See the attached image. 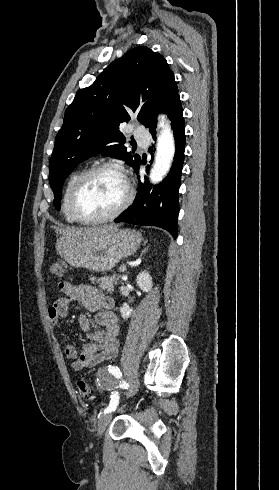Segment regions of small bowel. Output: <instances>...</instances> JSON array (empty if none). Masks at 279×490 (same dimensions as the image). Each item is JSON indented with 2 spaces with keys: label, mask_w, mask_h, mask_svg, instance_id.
<instances>
[{
  "label": "small bowel",
  "mask_w": 279,
  "mask_h": 490,
  "mask_svg": "<svg viewBox=\"0 0 279 490\" xmlns=\"http://www.w3.org/2000/svg\"><path fill=\"white\" fill-rule=\"evenodd\" d=\"M59 288L63 295L56 299L47 311L51 326L57 333L61 331L59 320L67 316L72 302L80 303L94 315L93 320L86 314L80 315L78 319L80 328L92 342L85 345L81 353H78L72 344L65 347V355L71 361L73 370L79 371L115 358L119 351L120 321L113 312L114 299L88 284L72 285L60 282Z\"/></svg>",
  "instance_id": "1"
}]
</instances>
